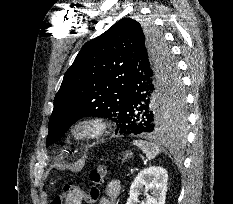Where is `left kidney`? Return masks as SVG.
<instances>
[{
	"mask_svg": "<svg viewBox=\"0 0 233 204\" xmlns=\"http://www.w3.org/2000/svg\"><path fill=\"white\" fill-rule=\"evenodd\" d=\"M168 173L163 167L151 166L140 171L131 184L126 204L139 203L138 196L144 190L146 199L141 204H165ZM151 191V195L147 192Z\"/></svg>",
	"mask_w": 233,
	"mask_h": 204,
	"instance_id": "obj_1",
	"label": "left kidney"
}]
</instances>
